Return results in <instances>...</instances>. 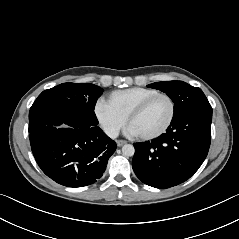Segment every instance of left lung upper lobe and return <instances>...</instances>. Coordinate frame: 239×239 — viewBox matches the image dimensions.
Returning <instances> with one entry per match:
<instances>
[{
	"label": "left lung upper lobe",
	"instance_id": "obj_1",
	"mask_svg": "<svg viewBox=\"0 0 239 239\" xmlns=\"http://www.w3.org/2000/svg\"><path fill=\"white\" fill-rule=\"evenodd\" d=\"M148 87L165 92L174 102L173 119L199 108H210L206 96L201 89L183 81H162L149 84Z\"/></svg>",
	"mask_w": 239,
	"mask_h": 239
}]
</instances>
